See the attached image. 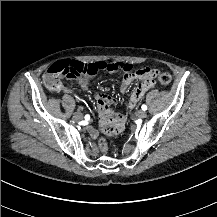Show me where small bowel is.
<instances>
[{
	"label": "small bowel",
	"instance_id": "1",
	"mask_svg": "<svg viewBox=\"0 0 217 217\" xmlns=\"http://www.w3.org/2000/svg\"><path fill=\"white\" fill-rule=\"evenodd\" d=\"M124 75L120 83V93L125 94L131 84L135 81L136 78L133 77V74L130 71H124ZM91 75H86L83 77L75 78L77 85L86 93H89L96 105V115L98 117L97 127L101 133L105 136H118L123 131V118L117 113L113 112V108L110 104L114 103V99L105 93L94 91L91 87ZM149 86L143 81L132 91L128 102V109H133L141 98L144 96L145 92L148 90ZM66 93H71V89L64 88ZM89 134L96 138L98 131L95 128H88Z\"/></svg>",
	"mask_w": 217,
	"mask_h": 217
}]
</instances>
